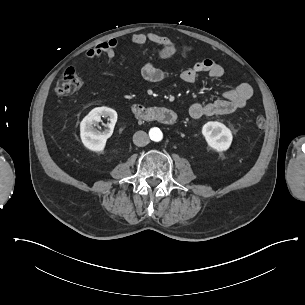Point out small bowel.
Returning a JSON list of instances; mask_svg holds the SVG:
<instances>
[{
    "mask_svg": "<svg viewBox=\"0 0 305 305\" xmlns=\"http://www.w3.org/2000/svg\"><path fill=\"white\" fill-rule=\"evenodd\" d=\"M117 46L115 39L109 38L106 42L97 43L84 52L86 59H91L93 55L102 56L107 54L106 61L113 56L114 51L109 50ZM176 54H185V50H181L175 46L174 50L167 56L158 57V60H165ZM108 67V64H105ZM201 73H207L212 79H219L224 76V67L211 58L202 59L193 65L185 68L181 73V79L185 83H193ZM142 77L151 83H160L167 78V73L159 68L155 63H146L141 69ZM253 89L249 83L242 82L235 88L229 89L223 94V99L215 100L209 103H194L189 107V115L192 118H201L217 114L229 113L238 109H242L247 101L252 97Z\"/></svg>",
    "mask_w": 305,
    "mask_h": 305,
    "instance_id": "c3829d8e",
    "label": "small bowel"
}]
</instances>
